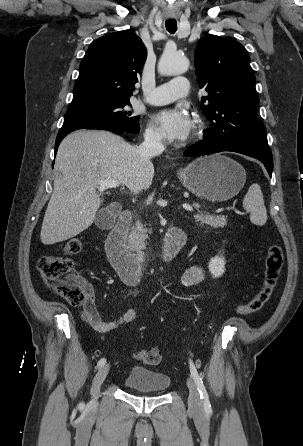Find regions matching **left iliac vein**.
I'll use <instances>...</instances> for the list:
<instances>
[{"label":"left iliac vein","mask_w":303,"mask_h":446,"mask_svg":"<svg viewBox=\"0 0 303 446\" xmlns=\"http://www.w3.org/2000/svg\"><path fill=\"white\" fill-rule=\"evenodd\" d=\"M187 386L189 389L188 403L191 411L195 413H200L202 411V402L200 399V394L195 382L191 379H187Z\"/></svg>","instance_id":"obj_1"}]
</instances>
